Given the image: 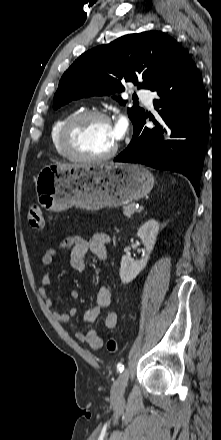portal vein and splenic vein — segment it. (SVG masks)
Instances as JSON below:
<instances>
[{"label": "portal vein and splenic vein", "instance_id": "1", "mask_svg": "<svg viewBox=\"0 0 221 440\" xmlns=\"http://www.w3.org/2000/svg\"><path fill=\"white\" fill-rule=\"evenodd\" d=\"M137 209V212H141L143 209H144V207L143 206H140V207H138V208H136Z\"/></svg>", "mask_w": 221, "mask_h": 440}]
</instances>
